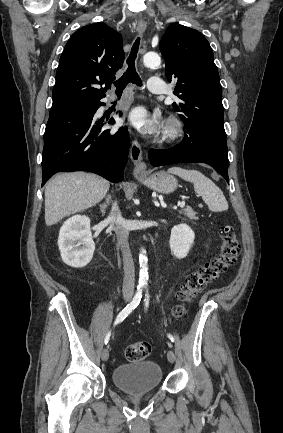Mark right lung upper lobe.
Instances as JSON below:
<instances>
[{
  "label": "right lung upper lobe",
  "mask_w": 283,
  "mask_h": 433,
  "mask_svg": "<svg viewBox=\"0 0 283 433\" xmlns=\"http://www.w3.org/2000/svg\"><path fill=\"white\" fill-rule=\"evenodd\" d=\"M124 57L122 36L105 23L90 24L76 31L59 60L50 112L105 97ZM104 82V88L94 87Z\"/></svg>",
  "instance_id": "cb5924a9"
}]
</instances>
